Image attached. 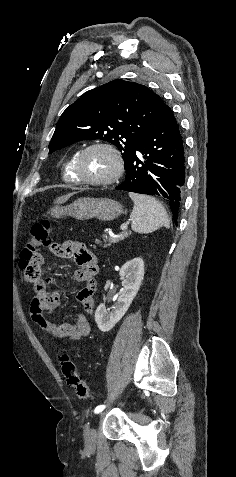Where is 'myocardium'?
I'll use <instances>...</instances> for the list:
<instances>
[{"mask_svg":"<svg viewBox=\"0 0 236 477\" xmlns=\"http://www.w3.org/2000/svg\"><path fill=\"white\" fill-rule=\"evenodd\" d=\"M92 149H102L106 151L112 157L114 162V170L108 177H105L103 179L92 180V179H87L81 175V171H80L81 161L84 155ZM123 168H124V163H123V159L120 152L114 146L105 142H94L84 147L77 154L76 159L74 161V165H73L74 173L77 177L79 184H87L91 186H107L114 183L122 175Z\"/></svg>","mask_w":236,"mask_h":477,"instance_id":"1","label":"myocardium"}]
</instances>
